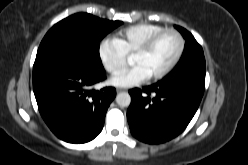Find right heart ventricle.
I'll return each instance as SVG.
<instances>
[{"instance_id":"1","label":"right heart ventricle","mask_w":248,"mask_h":165,"mask_svg":"<svg viewBox=\"0 0 248 165\" xmlns=\"http://www.w3.org/2000/svg\"><path fill=\"white\" fill-rule=\"evenodd\" d=\"M163 29L159 24L139 23L121 29L114 39L128 55L134 53L151 35Z\"/></svg>"}]
</instances>
